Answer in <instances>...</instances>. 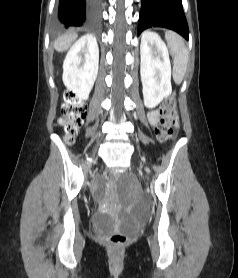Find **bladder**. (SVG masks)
Here are the masks:
<instances>
[{
    "label": "bladder",
    "instance_id": "obj_1",
    "mask_svg": "<svg viewBox=\"0 0 238 278\" xmlns=\"http://www.w3.org/2000/svg\"><path fill=\"white\" fill-rule=\"evenodd\" d=\"M94 223L100 228H112L115 225V222L108 215L103 213H97L94 216Z\"/></svg>",
    "mask_w": 238,
    "mask_h": 278
}]
</instances>
